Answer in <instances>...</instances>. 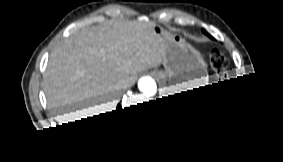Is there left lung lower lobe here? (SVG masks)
Wrapping results in <instances>:
<instances>
[{
    "label": "left lung lower lobe",
    "mask_w": 283,
    "mask_h": 162,
    "mask_svg": "<svg viewBox=\"0 0 283 162\" xmlns=\"http://www.w3.org/2000/svg\"><path fill=\"white\" fill-rule=\"evenodd\" d=\"M237 79H230L221 83H229L228 87L233 89L232 87L235 86ZM164 99L165 98L156 99V101H154L157 105L158 120L168 129L178 132L185 133L196 129H209L213 127L214 124L222 121L229 110V106L227 107L223 104L224 101L222 100L220 103L223 105L218 106L219 108L216 111L211 109V105H217V102L184 112L168 114L163 103ZM234 99L235 98L227 99L226 102Z\"/></svg>",
    "instance_id": "obj_1"
}]
</instances>
